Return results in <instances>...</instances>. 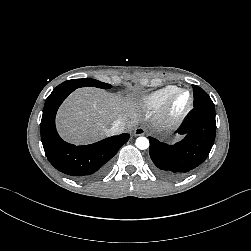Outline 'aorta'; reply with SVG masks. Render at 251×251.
I'll use <instances>...</instances> for the list:
<instances>
[{"mask_svg":"<svg viewBox=\"0 0 251 251\" xmlns=\"http://www.w3.org/2000/svg\"><path fill=\"white\" fill-rule=\"evenodd\" d=\"M137 148L144 150L149 147V140L146 137H138L136 139Z\"/></svg>","mask_w":251,"mask_h":251,"instance_id":"obj_1","label":"aorta"}]
</instances>
